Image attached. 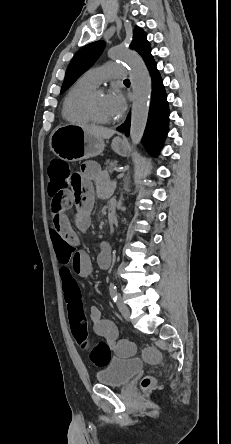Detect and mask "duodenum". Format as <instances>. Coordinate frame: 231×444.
I'll use <instances>...</instances> for the list:
<instances>
[{
  "label": "duodenum",
  "instance_id": "1",
  "mask_svg": "<svg viewBox=\"0 0 231 444\" xmlns=\"http://www.w3.org/2000/svg\"><path fill=\"white\" fill-rule=\"evenodd\" d=\"M117 220V212L114 206H111L108 210V226L113 229Z\"/></svg>",
  "mask_w": 231,
  "mask_h": 444
}]
</instances>
